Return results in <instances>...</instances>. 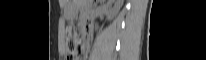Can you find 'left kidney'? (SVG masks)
<instances>
[{
    "mask_svg": "<svg viewBox=\"0 0 206 60\" xmlns=\"http://www.w3.org/2000/svg\"><path fill=\"white\" fill-rule=\"evenodd\" d=\"M119 4H120V0H118L117 5L115 6V8L112 10L111 14H115L119 8Z\"/></svg>",
    "mask_w": 206,
    "mask_h": 60,
    "instance_id": "5707ae66",
    "label": "left kidney"
}]
</instances>
